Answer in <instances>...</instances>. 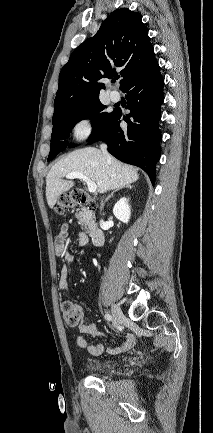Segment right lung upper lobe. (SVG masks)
Here are the masks:
<instances>
[{"instance_id": "obj_1", "label": "right lung upper lobe", "mask_w": 213, "mask_h": 433, "mask_svg": "<svg viewBox=\"0 0 213 433\" xmlns=\"http://www.w3.org/2000/svg\"><path fill=\"white\" fill-rule=\"evenodd\" d=\"M154 58L141 15L128 8L113 11L96 35L79 45L62 68L53 117L66 108L99 97L100 90L105 89L100 80L112 78L116 68H122V89Z\"/></svg>"}]
</instances>
